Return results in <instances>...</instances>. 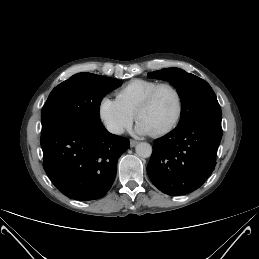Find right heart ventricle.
Instances as JSON below:
<instances>
[{"label": "right heart ventricle", "instance_id": "obj_1", "mask_svg": "<svg viewBox=\"0 0 259 259\" xmlns=\"http://www.w3.org/2000/svg\"><path fill=\"white\" fill-rule=\"evenodd\" d=\"M158 84V81L151 79H132L116 92V100L125 110L136 115L144 97Z\"/></svg>", "mask_w": 259, "mask_h": 259}]
</instances>
